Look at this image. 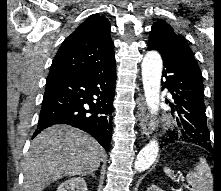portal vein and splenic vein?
I'll list each match as a JSON object with an SVG mask.
<instances>
[{"label": "portal vein and splenic vein", "mask_w": 221, "mask_h": 191, "mask_svg": "<svg viewBox=\"0 0 221 191\" xmlns=\"http://www.w3.org/2000/svg\"><path fill=\"white\" fill-rule=\"evenodd\" d=\"M184 186V188L191 190V188L188 185L182 184Z\"/></svg>", "instance_id": "portal-vein-and-splenic-vein-1"}]
</instances>
